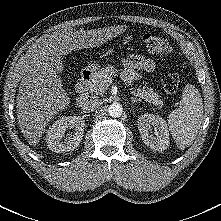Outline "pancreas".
<instances>
[{
	"instance_id": "pancreas-1",
	"label": "pancreas",
	"mask_w": 221,
	"mask_h": 221,
	"mask_svg": "<svg viewBox=\"0 0 221 221\" xmlns=\"http://www.w3.org/2000/svg\"><path fill=\"white\" fill-rule=\"evenodd\" d=\"M117 75V70L109 65L105 68L99 69L93 74L91 82L88 84V90L91 94L94 95H103L109 87L110 82L112 81L113 76ZM132 95L139 97L140 99L145 100L148 103H151L158 108H161L164 104L160 99V95L157 91L149 87L143 88H130Z\"/></svg>"
}]
</instances>
